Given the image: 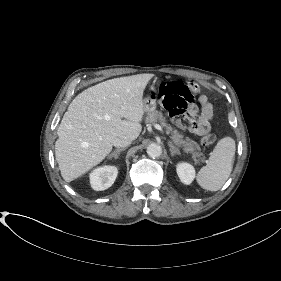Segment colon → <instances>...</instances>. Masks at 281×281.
<instances>
[{"label": "colon", "mask_w": 281, "mask_h": 281, "mask_svg": "<svg viewBox=\"0 0 281 281\" xmlns=\"http://www.w3.org/2000/svg\"><path fill=\"white\" fill-rule=\"evenodd\" d=\"M200 92L197 83L189 81L187 83L172 81L162 83L159 87V94L162 104L168 114L178 120L184 127L192 126L190 115L186 114L187 108L195 101L196 95ZM217 141L215 134L209 133L203 136L202 144L204 146H213Z\"/></svg>", "instance_id": "5ec220e1"}]
</instances>
